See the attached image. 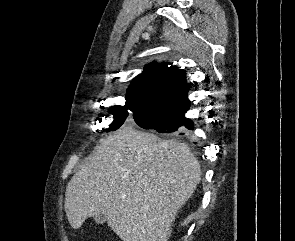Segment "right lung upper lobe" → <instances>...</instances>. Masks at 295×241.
Returning <instances> with one entry per match:
<instances>
[{
	"mask_svg": "<svg viewBox=\"0 0 295 241\" xmlns=\"http://www.w3.org/2000/svg\"><path fill=\"white\" fill-rule=\"evenodd\" d=\"M152 62L127 89L126 103L171 115L190 105L185 71Z\"/></svg>",
	"mask_w": 295,
	"mask_h": 241,
	"instance_id": "1",
	"label": "right lung upper lobe"
}]
</instances>
